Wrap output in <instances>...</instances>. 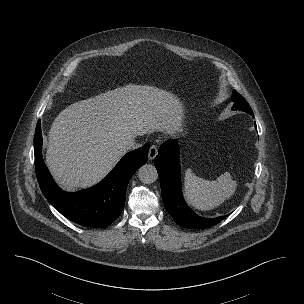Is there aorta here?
Masks as SVG:
<instances>
[{
    "mask_svg": "<svg viewBox=\"0 0 304 304\" xmlns=\"http://www.w3.org/2000/svg\"><path fill=\"white\" fill-rule=\"evenodd\" d=\"M138 177L144 184H151L158 178V173L154 165L145 164L138 170Z\"/></svg>",
    "mask_w": 304,
    "mask_h": 304,
    "instance_id": "obj_1",
    "label": "aorta"
}]
</instances>
